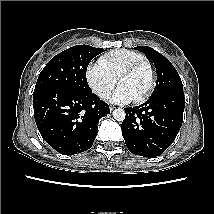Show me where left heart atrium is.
I'll list each match as a JSON object with an SVG mask.
<instances>
[{"instance_id":"1","label":"left heart atrium","mask_w":214,"mask_h":214,"mask_svg":"<svg viewBox=\"0 0 214 214\" xmlns=\"http://www.w3.org/2000/svg\"><path fill=\"white\" fill-rule=\"evenodd\" d=\"M135 98L133 95L127 91L124 87L119 86L114 93L111 95L110 100L114 103L118 104H126L130 103L134 100Z\"/></svg>"}]
</instances>
